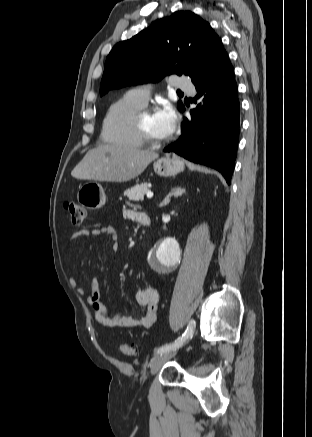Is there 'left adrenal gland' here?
I'll return each instance as SVG.
<instances>
[{"mask_svg":"<svg viewBox=\"0 0 312 437\" xmlns=\"http://www.w3.org/2000/svg\"><path fill=\"white\" fill-rule=\"evenodd\" d=\"M184 193H185L184 188H181V187L172 188L171 191L168 193V195L165 197V199L160 204V207L168 205L172 196H174L176 198L178 196H182V194H184Z\"/></svg>","mask_w":312,"mask_h":437,"instance_id":"a2214340","label":"left adrenal gland"}]
</instances>
